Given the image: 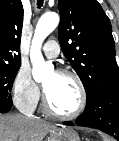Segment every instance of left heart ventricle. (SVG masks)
<instances>
[{"mask_svg": "<svg viewBox=\"0 0 119 141\" xmlns=\"http://www.w3.org/2000/svg\"><path fill=\"white\" fill-rule=\"evenodd\" d=\"M43 87L50 105L57 112L72 113L77 109L80 92L73 78L52 72L43 81Z\"/></svg>", "mask_w": 119, "mask_h": 141, "instance_id": "b2bd125f", "label": "left heart ventricle"}]
</instances>
